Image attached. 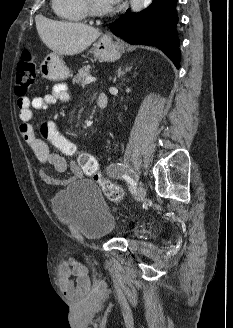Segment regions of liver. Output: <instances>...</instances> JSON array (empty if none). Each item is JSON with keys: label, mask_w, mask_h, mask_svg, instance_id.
Listing matches in <instances>:
<instances>
[{"label": "liver", "mask_w": 233, "mask_h": 328, "mask_svg": "<svg viewBox=\"0 0 233 328\" xmlns=\"http://www.w3.org/2000/svg\"><path fill=\"white\" fill-rule=\"evenodd\" d=\"M36 28L43 43L58 55H76L87 49L100 31L83 23L54 21L39 16Z\"/></svg>", "instance_id": "1"}]
</instances>
